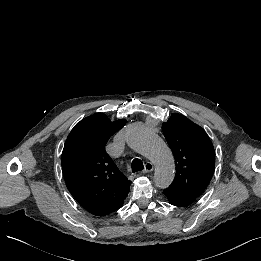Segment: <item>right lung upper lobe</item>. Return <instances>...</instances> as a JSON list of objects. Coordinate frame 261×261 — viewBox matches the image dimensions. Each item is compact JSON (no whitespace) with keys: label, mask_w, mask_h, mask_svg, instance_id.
<instances>
[{"label":"right lung upper lobe","mask_w":261,"mask_h":261,"mask_svg":"<svg viewBox=\"0 0 261 261\" xmlns=\"http://www.w3.org/2000/svg\"><path fill=\"white\" fill-rule=\"evenodd\" d=\"M125 120L111 122L96 113L77 123L62 152V171L69 192L88 212L105 216L118 210L126 198L129 181L105 151L109 138Z\"/></svg>","instance_id":"right-lung-upper-lobe-1"}]
</instances>
